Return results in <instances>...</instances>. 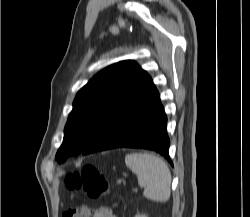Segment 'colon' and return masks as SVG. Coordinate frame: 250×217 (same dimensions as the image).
<instances>
[{
	"label": "colon",
	"mask_w": 250,
	"mask_h": 217,
	"mask_svg": "<svg viewBox=\"0 0 250 217\" xmlns=\"http://www.w3.org/2000/svg\"><path fill=\"white\" fill-rule=\"evenodd\" d=\"M65 184L71 190H83L91 198H99L110 192L106 176L93 165H85L81 171L68 174ZM96 211L91 206H79L64 212L62 217H71L74 212L81 217H88Z\"/></svg>",
	"instance_id": "5ec220e1"
}]
</instances>
